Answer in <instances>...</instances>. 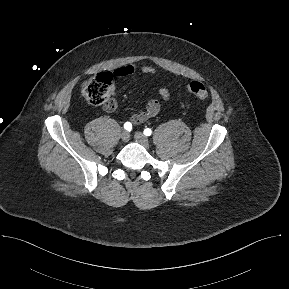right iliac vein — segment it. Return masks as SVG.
I'll use <instances>...</instances> for the list:
<instances>
[{
  "label": "right iliac vein",
  "mask_w": 289,
  "mask_h": 289,
  "mask_svg": "<svg viewBox=\"0 0 289 289\" xmlns=\"http://www.w3.org/2000/svg\"><path fill=\"white\" fill-rule=\"evenodd\" d=\"M121 139L122 141L124 142H127L129 139H130V134L128 131L124 130L122 133H121Z\"/></svg>",
  "instance_id": "63e3f726"
}]
</instances>
